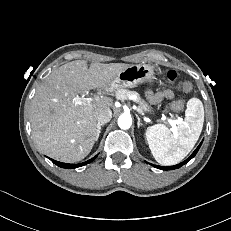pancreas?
<instances>
[{
	"label": "pancreas",
	"mask_w": 231,
	"mask_h": 231,
	"mask_svg": "<svg viewBox=\"0 0 231 231\" xmlns=\"http://www.w3.org/2000/svg\"><path fill=\"white\" fill-rule=\"evenodd\" d=\"M114 92H115L116 98L120 99V100H125V99L129 98L130 96H133L136 94L135 92L129 91V90L124 89V88H116L114 90ZM137 102H138V100H137ZM138 112L141 114L143 113L141 107H139Z\"/></svg>",
	"instance_id": "1"
}]
</instances>
